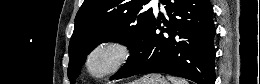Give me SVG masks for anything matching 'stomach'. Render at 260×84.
<instances>
[{"label": "stomach", "instance_id": "1", "mask_svg": "<svg viewBox=\"0 0 260 84\" xmlns=\"http://www.w3.org/2000/svg\"><path fill=\"white\" fill-rule=\"evenodd\" d=\"M129 84H169V82L161 74L151 73Z\"/></svg>", "mask_w": 260, "mask_h": 84}]
</instances>
